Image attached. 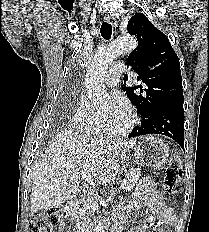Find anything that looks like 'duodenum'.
I'll use <instances>...</instances> for the list:
<instances>
[{
	"label": "duodenum",
	"mask_w": 209,
	"mask_h": 232,
	"mask_svg": "<svg viewBox=\"0 0 209 232\" xmlns=\"http://www.w3.org/2000/svg\"><path fill=\"white\" fill-rule=\"evenodd\" d=\"M79 204L80 199L78 197H73L66 205L64 211V221L61 228L64 230V232H82V227L76 217V210ZM110 232H121V224L119 222L114 223L110 229Z\"/></svg>",
	"instance_id": "obj_1"
}]
</instances>
